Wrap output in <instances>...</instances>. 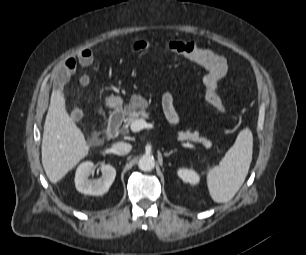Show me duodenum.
Returning a JSON list of instances; mask_svg holds the SVG:
<instances>
[{
    "label": "duodenum",
    "instance_id": "duodenum-1",
    "mask_svg": "<svg viewBox=\"0 0 306 255\" xmlns=\"http://www.w3.org/2000/svg\"><path fill=\"white\" fill-rule=\"evenodd\" d=\"M123 116V111L121 109H114L110 113L107 128V134L110 138H116L119 135Z\"/></svg>",
    "mask_w": 306,
    "mask_h": 255
}]
</instances>
